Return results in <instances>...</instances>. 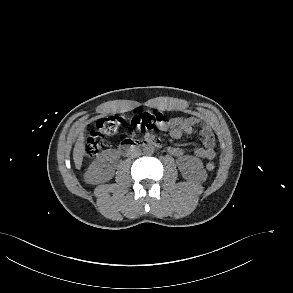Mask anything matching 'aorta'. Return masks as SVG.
<instances>
[{"label": "aorta", "instance_id": "1", "mask_svg": "<svg viewBox=\"0 0 293 293\" xmlns=\"http://www.w3.org/2000/svg\"><path fill=\"white\" fill-rule=\"evenodd\" d=\"M145 155H152L154 153V147L151 144H147L143 148Z\"/></svg>", "mask_w": 293, "mask_h": 293}]
</instances>
